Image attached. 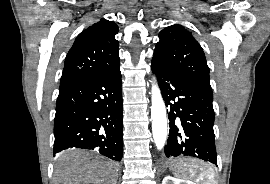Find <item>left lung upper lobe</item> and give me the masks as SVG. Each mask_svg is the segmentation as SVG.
I'll list each match as a JSON object with an SVG mask.
<instances>
[{
    "instance_id": "obj_1",
    "label": "left lung upper lobe",
    "mask_w": 270,
    "mask_h": 184,
    "mask_svg": "<svg viewBox=\"0 0 270 184\" xmlns=\"http://www.w3.org/2000/svg\"><path fill=\"white\" fill-rule=\"evenodd\" d=\"M154 57L163 63L180 68L199 84L212 91L209 67L199 43L179 24L166 27L159 33Z\"/></svg>"
}]
</instances>
